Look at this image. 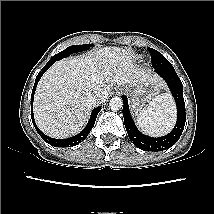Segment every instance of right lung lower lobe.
Returning <instances> with one entry per match:
<instances>
[{"label": "right lung lower lobe", "mask_w": 214, "mask_h": 214, "mask_svg": "<svg viewBox=\"0 0 214 214\" xmlns=\"http://www.w3.org/2000/svg\"><path fill=\"white\" fill-rule=\"evenodd\" d=\"M55 61L53 60H49L48 63L41 69V71L38 73L36 80H35V84L32 90V95H31V118H32V122L33 125L35 126L36 131L38 132V134L43 138V140L47 143H49L52 146H56V147H72L75 146L79 143H81L83 140L86 139V137L88 136L90 130L93 128L96 118H97V114L99 113V111L101 110V107H97L92 111L90 120L88 122V124L86 125V127L76 136L67 138V139H53L51 137H48L47 135H45L42 131H40V129L36 126L35 121H34V115H33V99H34V93L36 90V86L37 83L39 82L40 78L42 77V75L45 73V71L54 63Z\"/></svg>", "instance_id": "98d812e1"}]
</instances>
